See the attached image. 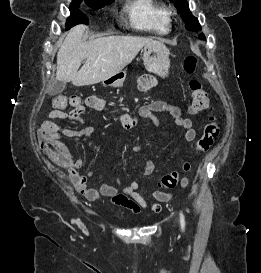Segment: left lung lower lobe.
<instances>
[{
    "label": "left lung lower lobe",
    "mask_w": 261,
    "mask_h": 273,
    "mask_svg": "<svg viewBox=\"0 0 261 273\" xmlns=\"http://www.w3.org/2000/svg\"><path fill=\"white\" fill-rule=\"evenodd\" d=\"M200 38H203V39H204L205 37H204V35H203V34H200Z\"/></svg>",
    "instance_id": "0a47b994"
}]
</instances>
